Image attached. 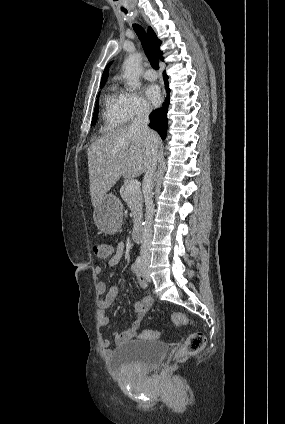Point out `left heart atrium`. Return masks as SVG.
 I'll use <instances>...</instances> for the list:
<instances>
[{
  "label": "left heart atrium",
  "instance_id": "left-heart-atrium-1",
  "mask_svg": "<svg viewBox=\"0 0 285 424\" xmlns=\"http://www.w3.org/2000/svg\"><path fill=\"white\" fill-rule=\"evenodd\" d=\"M145 94L152 105L156 106L161 102V93L157 85L147 86Z\"/></svg>",
  "mask_w": 285,
  "mask_h": 424
}]
</instances>
